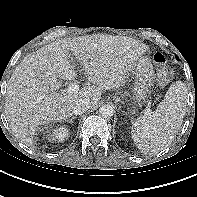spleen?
<instances>
[{"mask_svg":"<svg viewBox=\"0 0 197 197\" xmlns=\"http://www.w3.org/2000/svg\"><path fill=\"white\" fill-rule=\"evenodd\" d=\"M186 104L187 88L176 81L154 112L133 123L132 139L142 153H157L171 144L183 122Z\"/></svg>","mask_w":197,"mask_h":197,"instance_id":"obj_1","label":"spleen"}]
</instances>
